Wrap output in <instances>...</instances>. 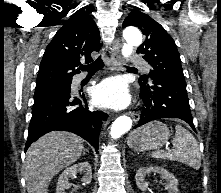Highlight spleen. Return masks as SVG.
<instances>
[{"label": "spleen", "instance_id": "1", "mask_svg": "<svg viewBox=\"0 0 221 193\" xmlns=\"http://www.w3.org/2000/svg\"><path fill=\"white\" fill-rule=\"evenodd\" d=\"M173 138V150L169 152L156 151L151 154L154 158L169 159L185 163L195 169L201 166V153L198 142L184 127L177 125Z\"/></svg>", "mask_w": 221, "mask_h": 193}]
</instances>
